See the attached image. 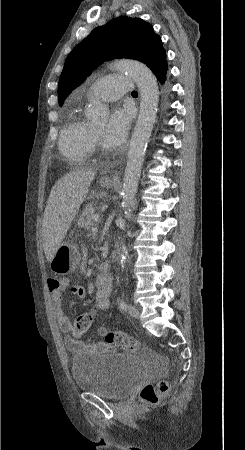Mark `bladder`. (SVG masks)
Here are the masks:
<instances>
[{
    "label": "bladder",
    "mask_w": 245,
    "mask_h": 450,
    "mask_svg": "<svg viewBox=\"0 0 245 450\" xmlns=\"http://www.w3.org/2000/svg\"><path fill=\"white\" fill-rule=\"evenodd\" d=\"M72 376L79 391L119 400L142 383L145 373L134 355L84 352L74 359Z\"/></svg>",
    "instance_id": "31cf9c89"
}]
</instances>
